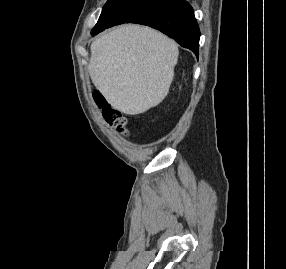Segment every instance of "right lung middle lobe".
I'll return each instance as SVG.
<instances>
[{"label":"right lung middle lobe","instance_id":"obj_1","mask_svg":"<svg viewBox=\"0 0 286 269\" xmlns=\"http://www.w3.org/2000/svg\"><path fill=\"white\" fill-rule=\"evenodd\" d=\"M160 0H108L92 32L123 24Z\"/></svg>","mask_w":286,"mask_h":269}]
</instances>
